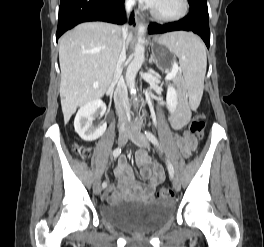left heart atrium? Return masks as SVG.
Returning a JSON list of instances; mask_svg holds the SVG:
<instances>
[{
    "label": "left heart atrium",
    "mask_w": 264,
    "mask_h": 247,
    "mask_svg": "<svg viewBox=\"0 0 264 247\" xmlns=\"http://www.w3.org/2000/svg\"><path fill=\"white\" fill-rule=\"evenodd\" d=\"M142 1L146 2L150 6L154 7L158 3L159 0H142Z\"/></svg>",
    "instance_id": "39dd6f15"
}]
</instances>
